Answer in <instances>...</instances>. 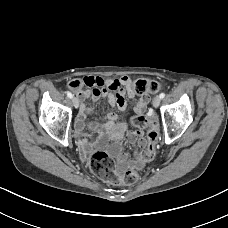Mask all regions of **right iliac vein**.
Segmentation results:
<instances>
[{
  "mask_svg": "<svg viewBox=\"0 0 228 228\" xmlns=\"http://www.w3.org/2000/svg\"><path fill=\"white\" fill-rule=\"evenodd\" d=\"M72 103L75 108L79 107V100L76 97L72 98Z\"/></svg>",
  "mask_w": 228,
  "mask_h": 228,
  "instance_id": "obj_1",
  "label": "right iliac vein"
}]
</instances>
